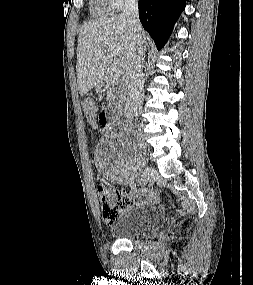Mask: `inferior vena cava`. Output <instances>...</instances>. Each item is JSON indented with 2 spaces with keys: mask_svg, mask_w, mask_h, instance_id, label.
Instances as JSON below:
<instances>
[{
  "mask_svg": "<svg viewBox=\"0 0 253 285\" xmlns=\"http://www.w3.org/2000/svg\"><path fill=\"white\" fill-rule=\"evenodd\" d=\"M122 15L129 23L133 39L131 51L124 67V78L128 91L125 114L128 117H133L139 113L144 96L142 70L146 51L142 35L143 28L138 17V0H125Z\"/></svg>",
  "mask_w": 253,
  "mask_h": 285,
  "instance_id": "inferior-vena-cava-1",
  "label": "inferior vena cava"
}]
</instances>
